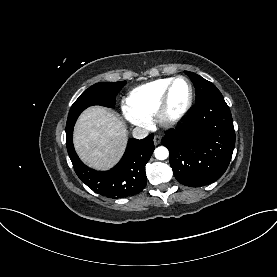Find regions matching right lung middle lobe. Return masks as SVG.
<instances>
[{
    "label": "right lung middle lobe",
    "mask_w": 277,
    "mask_h": 277,
    "mask_svg": "<svg viewBox=\"0 0 277 277\" xmlns=\"http://www.w3.org/2000/svg\"><path fill=\"white\" fill-rule=\"evenodd\" d=\"M125 84L126 81L99 82L85 90L70 108L66 131L74 127L78 116L87 107L92 105L113 107L115 105L116 95Z\"/></svg>",
    "instance_id": "dd1d6c3e"
}]
</instances>
